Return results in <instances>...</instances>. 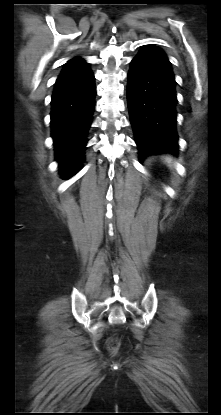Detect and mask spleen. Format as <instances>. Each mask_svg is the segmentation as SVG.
I'll use <instances>...</instances> for the list:
<instances>
[{"label": "spleen", "instance_id": "1", "mask_svg": "<svg viewBox=\"0 0 221 415\" xmlns=\"http://www.w3.org/2000/svg\"><path fill=\"white\" fill-rule=\"evenodd\" d=\"M164 160H165V162H166L168 165H170V166H171V164H172V162H173L172 157H170V156H166V157L164 158Z\"/></svg>", "mask_w": 221, "mask_h": 415}]
</instances>
